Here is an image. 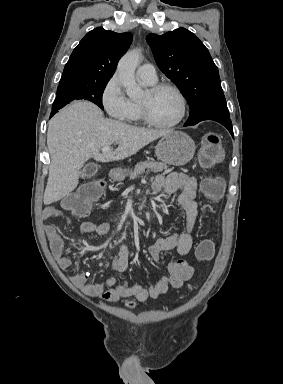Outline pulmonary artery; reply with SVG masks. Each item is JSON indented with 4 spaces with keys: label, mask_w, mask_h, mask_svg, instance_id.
<instances>
[{
    "label": "pulmonary artery",
    "mask_w": 283,
    "mask_h": 384,
    "mask_svg": "<svg viewBox=\"0 0 283 384\" xmlns=\"http://www.w3.org/2000/svg\"><path fill=\"white\" fill-rule=\"evenodd\" d=\"M138 77L148 84H153L157 81V73L153 65L149 63L141 64L137 69Z\"/></svg>",
    "instance_id": "pulmonary-artery-1"
}]
</instances>
